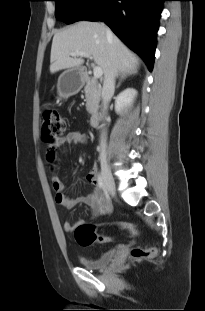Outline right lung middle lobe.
Returning <instances> with one entry per match:
<instances>
[{
    "mask_svg": "<svg viewBox=\"0 0 205 311\" xmlns=\"http://www.w3.org/2000/svg\"><path fill=\"white\" fill-rule=\"evenodd\" d=\"M56 3L55 16L58 20L71 24L83 20L94 13L103 0H53Z\"/></svg>",
    "mask_w": 205,
    "mask_h": 311,
    "instance_id": "1",
    "label": "right lung middle lobe"
}]
</instances>
